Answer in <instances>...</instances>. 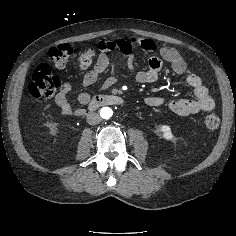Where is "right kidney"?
Here are the masks:
<instances>
[{
	"mask_svg": "<svg viewBox=\"0 0 236 236\" xmlns=\"http://www.w3.org/2000/svg\"><path fill=\"white\" fill-rule=\"evenodd\" d=\"M57 131H56V128H53L52 129V134H55Z\"/></svg>",
	"mask_w": 236,
	"mask_h": 236,
	"instance_id": "obj_1",
	"label": "right kidney"
}]
</instances>
